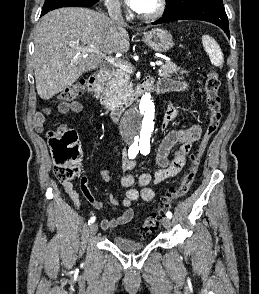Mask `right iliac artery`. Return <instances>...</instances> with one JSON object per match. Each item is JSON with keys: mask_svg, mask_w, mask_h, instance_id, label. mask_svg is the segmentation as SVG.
Returning <instances> with one entry per match:
<instances>
[{"mask_svg": "<svg viewBox=\"0 0 259 294\" xmlns=\"http://www.w3.org/2000/svg\"><path fill=\"white\" fill-rule=\"evenodd\" d=\"M139 152V147H138V144L137 143H133L130 147H129V150H128V156L130 159H134L136 157V155L138 154ZM95 217H91L88 221V224H92L94 223L95 221Z\"/></svg>", "mask_w": 259, "mask_h": 294, "instance_id": "1", "label": "right iliac artery"}]
</instances>
